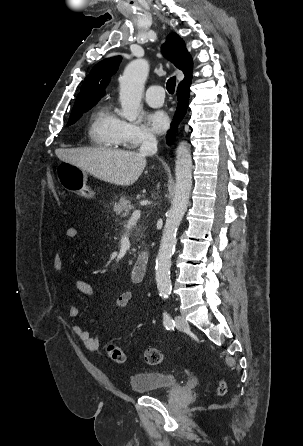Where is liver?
Segmentation results:
<instances>
[{
    "label": "liver",
    "mask_w": 303,
    "mask_h": 446,
    "mask_svg": "<svg viewBox=\"0 0 303 446\" xmlns=\"http://www.w3.org/2000/svg\"><path fill=\"white\" fill-rule=\"evenodd\" d=\"M56 155L62 161L76 165L102 181L130 186L142 174L146 157L134 151L76 148L57 149Z\"/></svg>",
    "instance_id": "6515ba94"
}]
</instances>
